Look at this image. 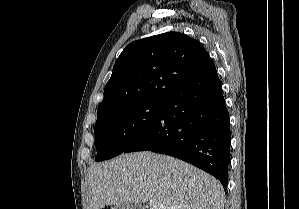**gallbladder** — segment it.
<instances>
[{"mask_svg": "<svg viewBox=\"0 0 299 209\" xmlns=\"http://www.w3.org/2000/svg\"><path fill=\"white\" fill-rule=\"evenodd\" d=\"M112 209H141V207L134 203L123 202V203L114 205V207Z\"/></svg>", "mask_w": 299, "mask_h": 209, "instance_id": "obj_1", "label": "gallbladder"}]
</instances>
